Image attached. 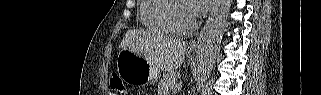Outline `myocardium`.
I'll use <instances>...</instances> for the list:
<instances>
[{
	"mask_svg": "<svg viewBox=\"0 0 321 95\" xmlns=\"http://www.w3.org/2000/svg\"><path fill=\"white\" fill-rule=\"evenodd\" d=\"M179 5H185V2L183 0H170L168 5L166 6L164 10V21L169 26V28L172 30V32L178 34V35H187L195 31L198 27V20L194 18L192 24L189 27H181L177 24L174 13L175 9ZM188 8V7H187Z\"/></svg>",
	"mask_w": 321,
	"mask_h": 95,
	"instance_id": "myocardium-1",
	"label": "myocardium"
}]
</instances>
